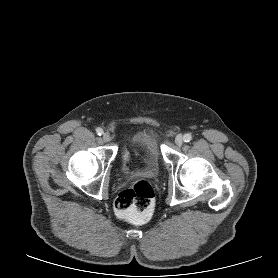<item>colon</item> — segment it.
I'll return each instance as SVG.
<instances>
[{
	"instance_id": "1",
	"label": "colon",
	"mask_w": 278,
	"mask_h": 278,
	"mask_svg": "<svg viewBox=\"0 0 278 278\" xmlns=\"http://www.w3.org/2000/svg\"><path fill=\"white\" fill-rule=\"evenodd\" d=\"M154 202L155 194L150 183L146 180H137L119 193L114 207L119 218L142 224L151 218Z\"/></svg>"
}]
</instances>
